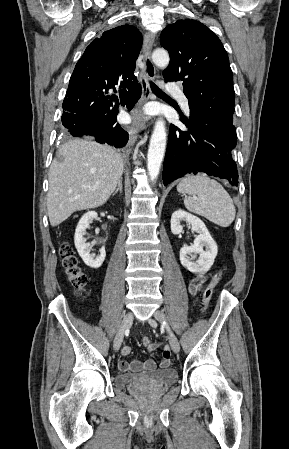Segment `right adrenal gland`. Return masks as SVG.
Instances as JSON below:
<instances>
[{
	"mask_svg": "<svg viewBox=\"0 0 289 449\" xmlns=\"http://www.w3.org/2000/svg\"><path fill=\"white\" fill-rule=\"evenodd\" d=\"M123 189V184H122V179H120L118 181V186L117 189L115 190V192L113 193V196L116 195L118 192H122Z\"/></svg>",
	"mask_w": 289,
	"mask_h": 449,
	"instance_id": "right-adrenal-gland-1",
	"label": "right adrenal gland"
}]
</instances>
